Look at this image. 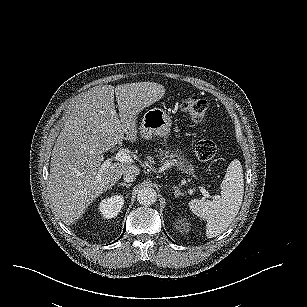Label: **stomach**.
Here are the masks:
<instances>
[{
  "mask_svg": "<svg viewBox=\"0 0 307 307\" xmlns=\"http://www.w3.org/2000/svg\"><path fill=\"white\" fill-rule=\"evenodd\" d=\"M172 120L171 117L161 108H152L145 112L139 126V134L145 140H151L153 137L168 138L171 132ZM176 157V164L178 168L191 175L194 173V167L187 162L180 150L173 152Z\"/></svg>",
  "mask_w": 307,
  "mask_h": 307,
  "instance_id": "stomach-1",
  "label": "stomach"
}]
</instances>
